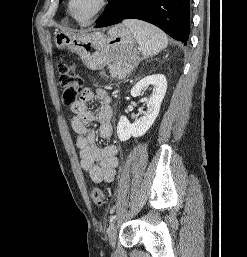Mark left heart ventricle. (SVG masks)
I'll use <instances>...</instances> for the list:
<instances>
[{
    "mask_svg": "<svg viewBox=\"0 0 247 257\" xmlns=\"http://www.w3.org/2000/svg\"><path fill=\"white\" fill-rule=\"evenodd\" d=\"M98 0H74L72 9L81 20L87 19L96 9Z\"/></svg>",
    "mask_w": 247,
    "mask_h": 257,
    "instance_id": "1",
    "label": "left heart ventricle"
}]
</instances>
